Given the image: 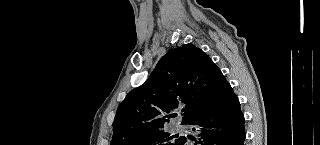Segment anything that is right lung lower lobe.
Listing matches in <instances>:
<instances>
[{"mask_svg": "<svg viewBox=\"0 0 320 145\" xmlns=\"http://www.w3.org/2000/svg\"><path fill=\"white\" fill-rule=\"evenodd\" d=\"M187 124L194 126L192 130L200 138L191 144L186 137H181L179 145H243L244 116L239 100L224 76L218 79L206 110Z\"/></svg>", "mask_w": 320, "mask_h": 145, "instance_id": "obj_1", "label": "right lung lower lobe"}]
</instances>
